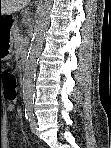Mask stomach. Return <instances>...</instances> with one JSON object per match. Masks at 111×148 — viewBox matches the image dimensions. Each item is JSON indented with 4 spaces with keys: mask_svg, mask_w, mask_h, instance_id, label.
<instances>
[{
    "mask_svg": "<svg viewBox=\"0 0 111 148\" xmlns=\"http://www.w3.org/2000/svg\"><path fill=\"white\" fill-rule=\"evenodd\" d=\"M16 18L13 14L0 15V61L10 59L13 47V29Z\"/></svg>",
    "mask_w": 111,
    "mask_h": 148,
    "instance_id": "1",
    "label": "stomach"
}]
</instances>
